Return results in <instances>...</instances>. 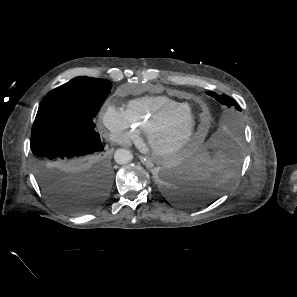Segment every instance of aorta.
<instances>
[{"label": "aorta", "instance_id": "1", "mask_svg": "<svg viewBox=\"0 0 297 297\" xmlns=\"http://www.w3.org/2000/svg\"><path fill=\"white\" fill-rule=\"evenodd\" d=\"M114 159L118 164H126L133 159L131 151L127 149H118L115 152Z\"/></svg>", "mask_w": 297, "mask_h": 297}]
</instances>
